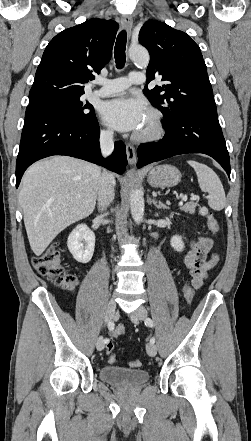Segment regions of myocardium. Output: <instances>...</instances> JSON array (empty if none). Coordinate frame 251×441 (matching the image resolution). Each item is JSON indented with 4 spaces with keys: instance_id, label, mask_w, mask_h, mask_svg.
<instances>
[{
    "instance_id": "obj_1",
    "label": "myocardium",
    "mask_w": 251,
    "mask_h": 441,
    "mask_svg": "<svg viewBox=\"0 0 251 441\" xmlns=\"http://www.w3.org/2000/svg\"><path fill=\"white\" fill-rule=\"evenodd\" d=\"M150 126L146 132L138 133L134 136L135 140L139 142H153L161 139L165 133L162 114L156 110L148 111Z\"/></svg>"
}]
</instances>
